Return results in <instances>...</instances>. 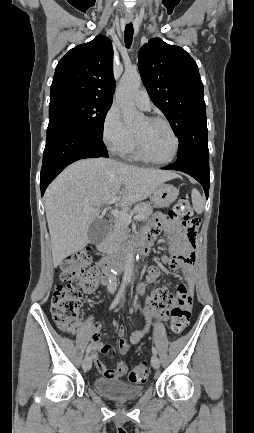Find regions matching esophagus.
<instances>
[{"instance_id":"esophagus-1","label":"esophagus","mask_w":254,"mask_h":433,"mask_svg":"<svg viewBox=\"0 0 254 433\" xmlns=\"http://www.w3.org/2000/svg\"><path fill=\"white\" fill-rule=\"evenodd\" d=\"M132 21V18H126V22L129 23Z\"/></svg>"}]
</instances>
